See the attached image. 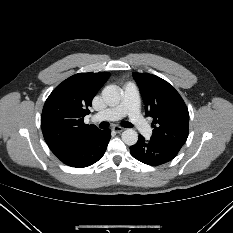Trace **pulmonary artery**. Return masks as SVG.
<instances>
[{
    "instance_id": "pulmonary-artery-1",
    "label": "pulmonary artery",
    "mask_w": 233,
    "mask_h": 233,
    "mask_svg": "<svg viewBox=\"0 0 233 233\" xmlns=\"http://www.w3.org/2000/svg\"><path fill=\"white\" fill-rule=\"evenodd\" d=\"M128 116L138 131L144 135L151 134V127L140 114V95L137 85L134 82H128L123 91L120 104L115 107L107 108L94 115V120L115 121Z\"/></svg>"
}]
</instances>
